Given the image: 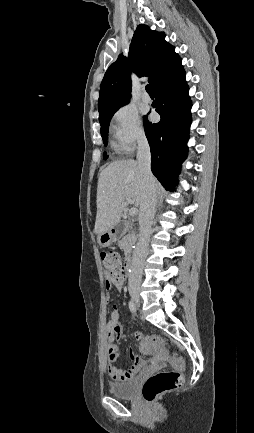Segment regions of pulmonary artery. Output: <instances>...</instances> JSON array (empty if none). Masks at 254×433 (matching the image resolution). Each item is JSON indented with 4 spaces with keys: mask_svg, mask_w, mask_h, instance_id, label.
<instances>
[{
    "mask_svg": "<svg viewBox=\"0 0 254 433\" xmlns=\"http://www.w3.org/2000/svg\"><path fill=\"white\" fill-rule=\"evenodd\" d=\"M142 100L144 103H150V97L147 93H144V95L142 96Z\"/></svg>",
    "mask_w": 254,
    "mask_h": 433,
    "instance_id": "1",
    "label": "pulmonary artery"
}]
</instances>
